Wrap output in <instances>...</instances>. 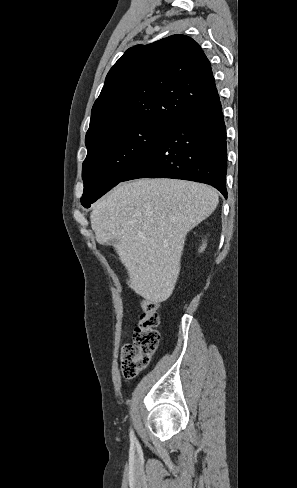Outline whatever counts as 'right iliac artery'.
Masks as SVG:
<instances>
[{
    "label": "right iliac artery",
    "instance_id": "1",
    "mask_svg": "<svg viewBox=\"0 0 297 488\" xmlns=\"http://www.w3.org/2000/svg\"><path fill=\"white\" fill-rule=\"evenodd\" d=\"M130 438H131V441L134 442L135 441V436L133 434V432L131 431L130 432Z\"/></svg>",
    "mask_w": 297,
    "mask_h": 488
}]
</instances>
